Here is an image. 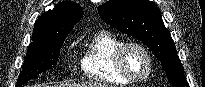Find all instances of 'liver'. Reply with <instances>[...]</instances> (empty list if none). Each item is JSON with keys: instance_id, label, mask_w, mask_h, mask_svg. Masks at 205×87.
Masks as SVG:
<instances>
[{"instance_id": "obj_1", "label": "liver", "mask_w": 205, "mask_h": 87, "mask_svg": "<svg viewBox=\"0 0 205 87\" xmlns=\"http://www.w3.org/2000/svg\"><path fill=\"white\" fill-rule=\"evenodd\" d=\"M53 87V86H52ZM54 87H109L106 84H101L99 82H89V83H83V84H60V85H55Z\"/></svg>"}]
</instances>
